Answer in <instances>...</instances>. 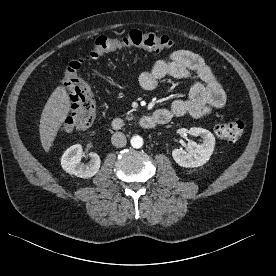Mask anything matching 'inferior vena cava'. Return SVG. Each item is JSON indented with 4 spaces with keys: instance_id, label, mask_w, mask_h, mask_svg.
Instances as JSON below:
<instances>
[{
    "instance_id": "obj_1",
    "label": "inferior vena cava",
    "mask_w": 276,
    "mask_h": 276,
    "mask_svg": "<svg viewBox=\"0 0 276 276\" xmlns=\"http://www.w3.org/2000/svg\"><path fill=\"white\" fill-rule=\"evenodd\" d=\"M111 143L117 148H122L126 145V136L122 132H115L111 137Z\"/></svg>"
}]
</instances>
